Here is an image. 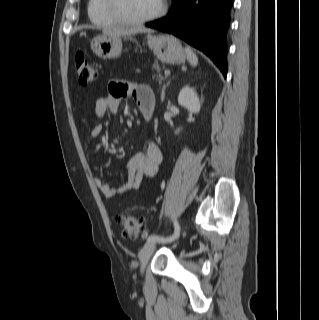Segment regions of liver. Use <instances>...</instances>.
I'll list each match as a JSON object with an SVG mask.
<instances>
[{
    "mask_svg": "<svg viewBox=\"0 0 319 320\" xmlns=\"http://www.w3.org/2000/svg\"><path fill=\"white\" fill-rule=\"evenodd\" d=\"M104 34L107 35H131L139 32H151V30L145 29L143 27L138 28H107L103 30Z\"/></svg>",
    "mask_w": 319,
    "mask_h": 320,
    "instance_id": "liver-1",
    "label": "liver"
}]
</instances>
